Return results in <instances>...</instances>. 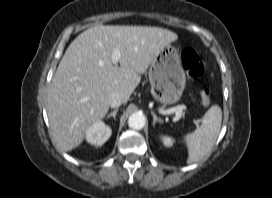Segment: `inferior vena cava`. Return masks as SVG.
Segmentation results:
<instances>
[{
	"mask_svg": "<svg viewBox=\"0 0 272 198\" xmlns=\"http://www.w3.org/2000/svg\"><path fill=\"white\" fill-rule=\"evenodd\" d=\"M108 102L110 107L116 108L123 103V98L120 93L114 92L109 96Z\"/></svg>",
	"mask_w": 272,
	"mask_h": 198,
	"instance_id": "1",
	"label": "inferior vena cava"
}]
</instances>
